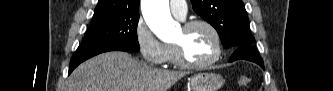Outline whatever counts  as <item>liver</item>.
Returning a JSON list of instances; mask_svg holds the SVG:
<instances>
[{
	"label": "liver",
	"mask_w": 333,
	"mask_h": 91,
	"mask_svg": "<svg viewBox=\"0 0 333 91\" xmlns=\"http://www.w3.org/2000/svg\"><path fill=\"white\" fill-rule=\"evenodd\" d=\"M185 75L153 68L125 52H107L80 64L67 91H168Z\"/></svg>",
	"instance_id": "obj_1"
}]
</instances>
